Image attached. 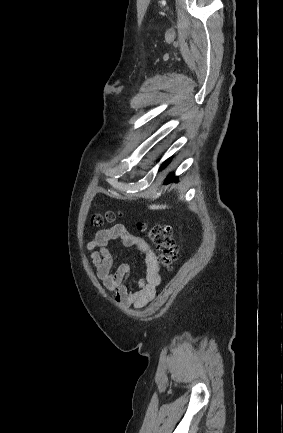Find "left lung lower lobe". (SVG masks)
<instances>
[{
  "label": "left lung lower lobe",
  "mask_w": 283,
  "mask_h": 433,
  "mask_svg": "<svg viewBox=\"0 0 283 433\" xmlns=\"http://www.w3.org/2000/svg\"><path fill=\"white\" fill-rule=\"evenodd\" d=\"M169 161H170V159H168L167 161H165V162L161 165L160 169H163V168L168 164ZM171 181H177V177H173V174H170V175L167 177L165 183H168V182H171Z\"/></svg>",
  "instance_id": "1"
}]
</instances>
